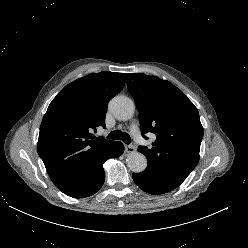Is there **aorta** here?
<instances>
[{"instance_id": "aorta-1", "label": "aorta", "mask_w": 248, "mask_h": 248, "mask_svg": "<svg viewBox=\"0 0 248 248\" xmlns=\"http://www.w3.org/2000/svg\"><path fill=\"white\" fill-rule=\"evenodd\" d=\"M111 113L119 120L127 121L135 113V104L126 96H116L109 103ZM128 168L134 173L143 172L147 167V159L140 152H131L126 159Z\"/></svg>"}]
</instances>
